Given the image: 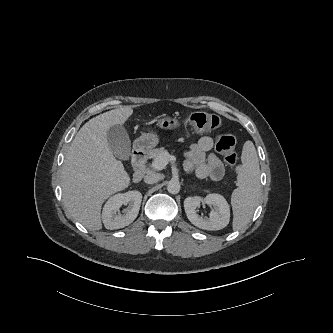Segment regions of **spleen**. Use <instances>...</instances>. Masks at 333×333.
<instances>
[{"instance_id": "3e777b00", "label": "spleen", "mask_w": 333, "mask_h": 333, "mask_svg": "<svg viewBox=\"0 0 333 333\" xmlns=\"http://www.w3.org/2000/svg\"><path fill=\"white\" fill-rule=\"evenodd\" d=\"M241 161L242 165L237 169L238 187L231 196L234 230H241L249 223L259 203L260 167L252 141L244 143Z\"/></svg>"}]
</instances>
